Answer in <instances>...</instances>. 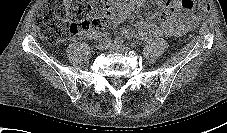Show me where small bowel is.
<instances>
[{
  "label": "small bowel",
  "mask_w": 227,
  "mask_h": 133,
  "mask_svg": "<svg viewBox=\"0 0 227 133\" xmlns=\"http://www.w3.org/2000/svg\"><path fill=\"white\" fill-rule=\"evenodd\" d=\"M146 0H123L122 6L116 21H122L132 16L135 9L142 6ZM158 4L163 9L165 21L159 26H155L148 21H141L134 28H124L122 34L127 38L145 40L150 37L160 36H180L198 25V17L191 13H183L180 9L179 0H158ZM102 35L100 30H90L86 37L90 39L99 38Z\"/></svg>",
  "instance_id": "1"
}]
</instances>
